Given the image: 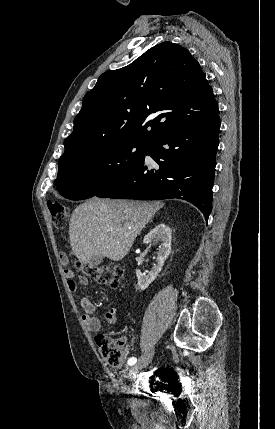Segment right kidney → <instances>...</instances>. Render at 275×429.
Here are the masks:
<instances>
[{
  "label": "right kidney",
  "instance_id": "ca27d5eb",
  "mask_svg": "<svg viewBox=\"0 0 275 429\" xmlns=\"http://www.w3.org/2000/svg\"><path fill=\"white\" fill-rule=\"evenodd\" d=\"M171 229L165 224H158L153 230H151L143 239L144 244H156L161 242L157 252V264L154 268L148 272V274H142L140 270H136V276L138 278V287L141 291L148 288V286L156 279L158 274L161 272L164 261L168 258L171 253Z\"/></svg>",
  "mask_w": 275,
  "mask_h": 429
}]
</instances>
